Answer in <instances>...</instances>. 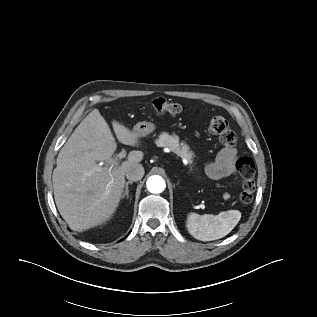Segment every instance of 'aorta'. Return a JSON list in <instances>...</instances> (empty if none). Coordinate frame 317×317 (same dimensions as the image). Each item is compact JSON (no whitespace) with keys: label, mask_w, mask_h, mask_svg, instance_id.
I'll return each mask as SVG.
<instances>
[{"label":"aorta","mask_w":317,"mask_h":317,"mask_svg":"<svg viewBox=\"0 0 317 317\" xmlns=\"http://www.w3.org/2000/svg\"><path fill=\"white\" fill-rule=\"evenodd\" d=\"M146 186L151 193H161L166 188L165 180L159 175H152L148 178Z\"/></svg>","instance_id":"1"}]
</instances>
